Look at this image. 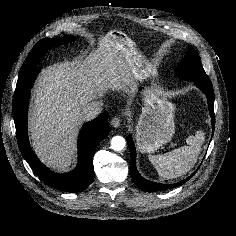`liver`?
Masks as SVG:
<instances>
[{
	"label": "liver",
	"instance_id": "liver-1",
	"mask_svg": "<svg viewBox=\"0 0 236 236\" xmlns=\"http://www.w3.org/2000/svg\"><path fill=\"white\" fill-rule=\"evenodd\" d=\"M131 64L108 37L82 60L43 69L33 90L29 118L32 147L49 168L64 171L74 160L82 108L107 91L129 92Z\"/></svg>",
	"mask_w": 236,
	"mask_h": 236
}]
</instances>
